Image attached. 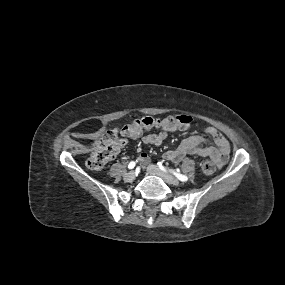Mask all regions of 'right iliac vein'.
I'll return each instance as SVG.
<instances>
[{"mask_svg":"<svg viewBox=\"0 0 285 285\" xmlns=\"http://www.w3.org/2000/svg\"><path fill=\"white\" fill-rule=\"evenodd\" d=\"M136 178V173L134 171H130L129 173L124 175V180L126 182H132Z\"/></svg>","mask_w":285,"mask_h":285,"instance_id":"63e3f726","label":"right iliac vein"}]
</instances>
